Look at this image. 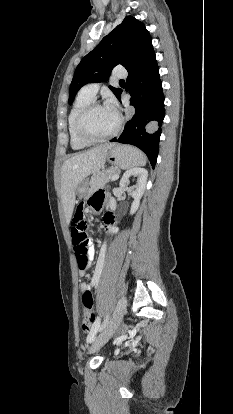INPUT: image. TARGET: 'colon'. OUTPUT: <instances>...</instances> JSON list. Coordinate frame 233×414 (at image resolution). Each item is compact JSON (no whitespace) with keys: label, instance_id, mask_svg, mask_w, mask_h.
Instances as JSON below:
<instances>
[{"label":"colon","instance_id":"5ec220e1","mask_svg":"<svg viewBox=\"0 0 233 414\" xmlns=\"http://www.w3.org/2000/svg\"><path fill=\"white\" fill-rule=\"evenodd\" d=\"M72 241L80 269H86L89 265L88 245L89 237L86 231V223L82 207H78L72 219ZM83 321L82 327L85 331H90L95 322V312L93 310L94 300L90 290L82 294Z\"/></svg>","mask_w":233,"mask_h":414}]
</instances>
